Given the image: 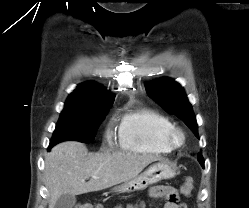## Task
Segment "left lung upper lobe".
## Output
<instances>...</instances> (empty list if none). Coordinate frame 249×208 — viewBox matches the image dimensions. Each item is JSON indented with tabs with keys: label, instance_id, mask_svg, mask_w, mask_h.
<instances>
[{
	"label": "left lung upper lobe",
	"instance_id": "5c2ea615",
	"mask_svg": "<svg viewBox=\"0 0 249 208\" xmlns=\"http://www.w3.org/2000/svg\"><path fill=\"white\" fill-rule=\"evenodd\" d=\"M148 95L153 98L165 111L173 113L182 119L198 137V126L191 104L180 84L170 78L157 79L146 86ZM198 161L204 167L201 153Z\"/></svg>",
	"mask_w": 249,
	"mask_h": 208
}]
</instances>
